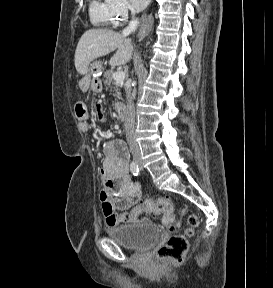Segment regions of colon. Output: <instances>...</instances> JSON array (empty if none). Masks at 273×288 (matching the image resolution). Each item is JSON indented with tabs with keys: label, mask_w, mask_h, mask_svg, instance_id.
Instances as JSON below:
<instances>
[{
	"label": "colon",
	"mask_w": 273,
	"mask_h": 288,
	"mask_svg": "<svg viewBox=\"0 0 273 288\" xmlns=\"http://www.w3.org/2000/svg\"><path fill=\"white\" fill-rule=\"evenodd\" d=\"M81 106H77L79 109ZM94 110L100 112L102 107L99 103L95 104ZM143 210L149 214L160 217L161 222L170 227L178 228L179 222L176 220L175 209L172 201L168 197H160L157 199H145L140 203ZM187 213L186 208L180 210V215ZM198 224V218L194 214L188 216V228L184 234H174L168 238L166 243L162 245L157 252L160 260H173L181 263L188 250L187 237L193 234L194 228Z\"/></svg>",
	"instance_id": "5ec220e1"
}]
</instances>
